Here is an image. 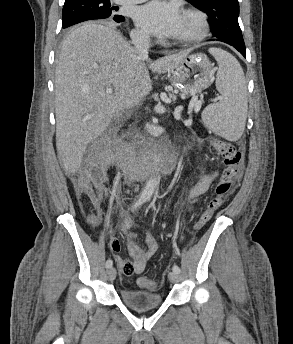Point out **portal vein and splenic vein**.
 Wrapping results in <instances>:
<instances>
[{"mask_svg":"<svg viewBox=\"0 0 293 344\" xmlns=\"http://www.w3.org/2000/svg\"><path fill=\"white\" fill-rule=\"evenodd\" d=\"M112 92H113L112 88L109 87L106 89V93L110 94ZM192 105L194 106L195 112H198L201 108L202 100H198L197 97H193L192 98Z\"/></svg>","mask_w":293,"mask_h":344,"instance_id":"obj_1","label":"portal vein and splenic vein"}]
</instances>
